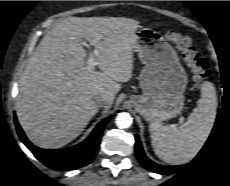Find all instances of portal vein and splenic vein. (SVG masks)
<instances>
[{
	"label": "portal vein and splenic vein",
	"instance_id": "portal-vein-and-splenic-vein-1",
	"mask_svg": "<svg viewBox=\"0 0 230 186\" xmlns=\"http://www.w3.org/2000/svg\"><path fill=\"white\" fill-rule=\"evenodd\" d=\"M95 65H97V62L95 61V56H94V54H90V56L87 60L86 68H87V70L91 71Z\"/></svg>",
	"mask_w": 230,
	"mask_h": 186
}]
</instances>
